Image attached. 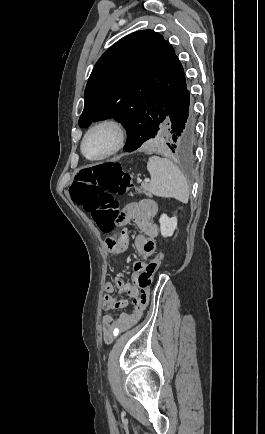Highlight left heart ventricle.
<instances>
[{"label":"left heart ventricle","mask_w":265,"mask_h":434,"mask_svg":"<svg viewBox=\"0 0 265 434\" xmlns=\"http://www.w3.org/2000/svg\"><path fill=\"white\" fill-rule=\"evenodd\" d=\"M114 141L113 133L108 129L99 130L86 140L84 152L89 157H98L105 154Z\"/></svg>","instance_id":"obj_1"}]
</instances>
